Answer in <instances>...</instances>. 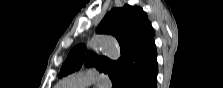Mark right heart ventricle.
Here are the masks:
<instances>
[{"instance_id": "obj_1", "label": "right heart ventricle", "mask_w": 223, "mask_h": 88, "mask_svg": "<svg viewBox=\"0 0 223 88\" xmlns=\"http://www.w3.org/2000/svg\"><path fill=\"white\" fill-rule=\"evenodd\" d=\"M54 88H63V87H60L59 85H57L56 87H54Z\"/></svg>"}]
</instances>
